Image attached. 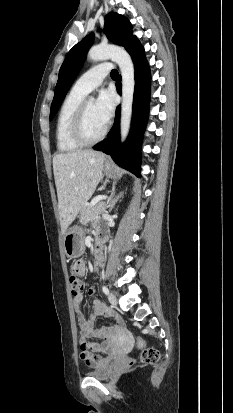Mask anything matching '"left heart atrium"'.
I'll use <instances>...</instances> for the list:
<instances>
[{
    "instance_id": "39dd6f15",
    "label": "left heart atrium",
    "mask_w": 233,
    "mask_h": 413,
    "mask_svg": "<svg viewBox=\"0 0 233 413\" xmlns=\"http://www.w3.org/2000/svg\"><path fill=\"white\" fill-rule=\"evenodd\" d=\"M95 108L98 116L107 124L114 114L115 110V100L113 94L108 90H103L100 92L96 102Z\"/></svg>"
}]
</instances>
